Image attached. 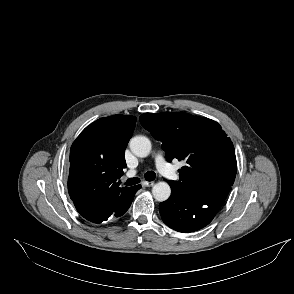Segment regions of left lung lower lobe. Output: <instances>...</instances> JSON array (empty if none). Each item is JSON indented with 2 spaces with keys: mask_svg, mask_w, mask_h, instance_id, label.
I'll use <instances>...</instances> for the list:
<instances>
[{
  "mask_svg": "<svg viewBox=\"0 0 294 294\" xmlns=\"http://www.w3.org/2000/svg\"><path fill=\"white\" fill-rule=\"evenodd\" d=\"M172 195L160 203L163 222L179 232H193L209 224L224 203L227 193L216 190L210 193L183 192L170 184Z\"/></svg>",
  "mask_w": 294,
  "mask_h": 294,
  "instance_id": "0a47b994",
  "label": "left lung lower lobe"
}]
</instances>
